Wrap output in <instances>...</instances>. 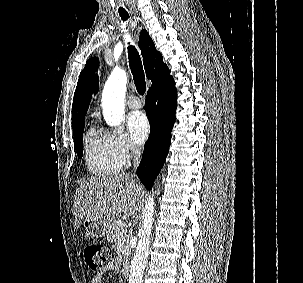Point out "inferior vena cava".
<instances>
[{"instance_id": "inferior-vena-cava-1", "label": "inferior vena cava", "mask_w": 303, "mask_h": 283, "mask_svg": "<svg viewBox=\"0 0 303 283\" xmlns=\"http://www.w3.org/2000/svg\"><path fill=\"white\" fill-rule=\"evenodd\" d=\"M131 152H132V156H133V160H134V171H136L137 167L139 166L140 163V158H141V150L135 146L132 145L131 146Z\"/></svg>"}]
</instances>
